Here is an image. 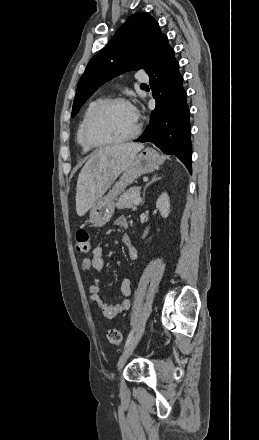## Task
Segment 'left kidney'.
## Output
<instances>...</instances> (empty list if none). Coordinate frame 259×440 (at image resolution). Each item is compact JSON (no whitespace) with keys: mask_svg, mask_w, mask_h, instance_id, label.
Here are the masks:
<instances>
[{"mask_svg":"<svg viewBox=\"0 0 259 440\" xmlns=\"http://www.w3.org/2000/svg\"><path fill=\"white\" fill-rule=\"evenodd\" d=\"M156 208L163 218H167L170 213V200L166 192L162 193L156 202Z\"/></svg>","mask_w":259,"mask_h":440,"instance_id":"1","label":"left kidney"}]
</instances>
